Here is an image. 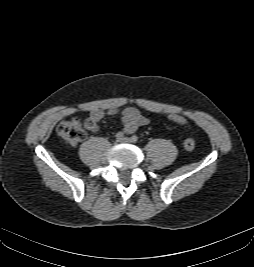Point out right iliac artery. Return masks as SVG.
I'll return each mask as SVG.
<instances>
[{
	"mask_svg": "<svg viewBox=\"0 0 254 267\" xmlns=\"http://www.w3.org/2000/svg\"><path fill=\"white\" fill-rule=\"evenodd\" d=\"M123 137H124V133L123 132H118L115 135V138H116L117 141H120Z\"/></svg>",
	"mask_w": 254,
	"mask_h": 267,
	"instance_id": "1",
	"label": "right iliac artery"
}]
</instances>
